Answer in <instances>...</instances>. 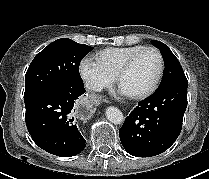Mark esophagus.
<instances>
[{
    "label": "esophagus",
    "instance_id": "esophagus-1",
    "mask_svg": "<svg viewBox=\"0 0 209 179\" xmlns=\"http://www.w3.org/2000/svg\"><path fill=\"white\" fill-rule=\"evenodd\" d=\"M75 114L81 119L90 118L95 112V105L90 99H79L74 105Z\"/></svg>",
    "mask_w": 209,
    "mask_h": 179
}]
</instances>
